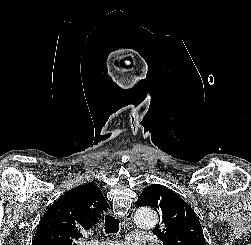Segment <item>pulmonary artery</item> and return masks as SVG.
<instances>
[{
    "label": "pulmonary artery",
    "mask_w": 251,
    "mask_h": 245,
    "mask_svg": "<svg viewBox=\"0 0 251 245\" xmlns=\"http://www.w3.org/2000/svg\"><path fill=\"white\" fill-rule=\"evenodd\" d=\"M148 235L143 233L134 232L126 237L125 243L127 245H144L147 242ZM92 245H121L119 241H105V242H94Z\"/></svg>",
    "instance_id": "1"
}]
</instances>
